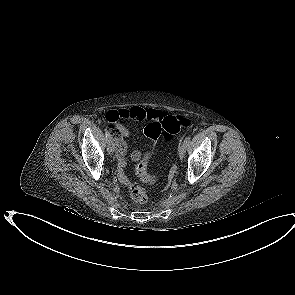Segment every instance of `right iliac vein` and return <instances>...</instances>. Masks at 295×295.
Listing matches in <instances>:
<instances>
[{"label":"right iliac vein","mask_w":295,"mask_h":295,"mask_svg":"<svg viewBox=\"0 0 295 295\" xmlns=\"http://www.w3.org/2000/svg\"><path fill=\"white\" fill-rule=\"evenodd\" d=\"M107 144H108V147H107V151L109 154H114L115 150H116V145L113 141V138H110L107 140Z\"/></svg>","instance_id":"right-iliac-vein-1"}]
</instances>
